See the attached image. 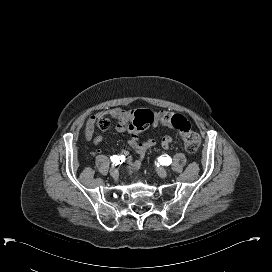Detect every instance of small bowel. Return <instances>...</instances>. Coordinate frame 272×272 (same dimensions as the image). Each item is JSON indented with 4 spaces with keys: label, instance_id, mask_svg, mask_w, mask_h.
Returning a JSON list of instances; mask_svg holds the SVG:
<instances>
[{
    "label": "small bowel",
    "instance_id": "obj_1",
    "mask_svg": "<svg viewBox=\"0 0 272 272\" xmlns=\"http://www.w3.org/2000/svg\"><path fill=\"white\" fill-rule=\"evenodd\" d=\"M100 117H110L116 120L115 130L120 133L125 132H133L136 130L131 127V120L133 118V112L122 109L120 107L110 108L97 114L89 117L85 126V134L86 138L89 139L94 131L95 123ZM172 117V113L167 111H159L154 113V122L152 123V127H171L170 119ZM145 128V127H144ZM104 140L103 135H98L93 138L94 144H100ZM173 139L171 136H165L161 140V146L164 150L169 149L172 144ZM156 140L154 138H148L142 143H131V148L136 152L138 158L133 160L130 165V170H135L140 167V158L146 153V151L156 145ZM123 154L125 151L122 152Z\"/></svg>",
    "mask_w": 272,
    "mask_h": 272
}]
</instances>
